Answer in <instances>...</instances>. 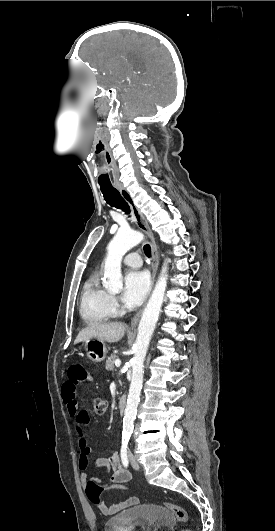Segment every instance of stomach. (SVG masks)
<instances>
[{
    "label": "stomach",
    "mask_w": 275,
    "mask_h": 531,
    "mask_svg": "<svg viewBox=\"0 0 275 531\" xmlns=\"http://www.w3.org/2000/svg\"><path fill=\"white\" fill-rule=\"evenodd\" d=\"M85 349L88 359L93 361V363H101L108 355L105 341H99V339H88V341H85ZM68 358L70 361H81L83 353L81 350H70Z\"/></svg>",
    "instance_id": "stomach-1"
}]
</instances>
